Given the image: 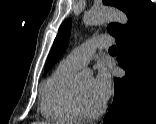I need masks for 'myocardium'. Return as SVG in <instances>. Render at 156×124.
I'll return each mask as SVG.
<instances>
[{
  "label": "myocardium",
  "mask_w": 156,
  "mask_h": 124,
  "mask_svg": "<svg viewBox=\"0 0 156 124\" xmlns=\"http://www.w3.org/2000/svg\"><path fill=\"white\" fill-rule=\"evenodd\" d=\"M73 101H74V106L80 115L81 118L84 119H93L99 117L105 110V104H102L99 108L96 110H89L86 108L81 91H80V86L78 80L74 82L73 84Z\"/></svg>",
  "instance_id": "f54148a6"
}]
</instances>
